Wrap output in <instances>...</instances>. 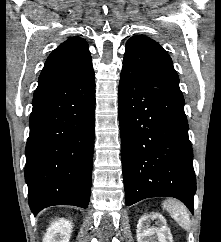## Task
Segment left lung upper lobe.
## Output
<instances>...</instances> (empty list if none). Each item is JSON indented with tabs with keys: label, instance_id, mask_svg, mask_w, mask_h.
I'll use <instances>...</instances> for the list:
<instances>
[{
	"label": "left lung upper lobe",
	"instance_id": "left-lung-upper-lobe-1",
	"mask_svg": "<svg viewBox=\"0 0 221 242\" xmlns=\"http://www.w3.org/2000/svg\"><path fill=\"white\" fill-rule=\"evenodd\" d=\"M123 67L153 87L183 95L170 56L146 36H134L127 41Z\"/></svg>",
	"mask_w": 221,
	"mask_h": 242
}]
</instances>
